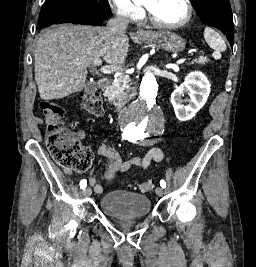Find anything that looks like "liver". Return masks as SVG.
Instances as JSON below:
<instances>
[{
	"instance_id": "6515ba94",
	"label": "liver",
	"mask_w": 256,
	"mask_h": 267,
	"mask_svg": "<svg viewBox=\"0 0 256 267\" xmlns=\"http://www.w3.org/2000/svg\"><path fill=\"white\" fill-rule=\"evenodd\" d=\"M157 34V32H147ZM134 42L139 38L131 36ZM129 38L100 26L60 24L48 28L35 48V82L41 100H59L85 88L87 68L96 60L124 66Z\"/></svg>"
}]
</instances>
